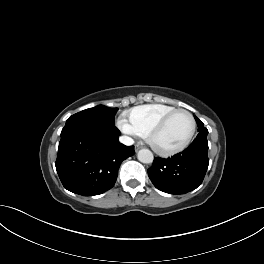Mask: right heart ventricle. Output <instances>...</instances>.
Returning <instances> with one entry per match:
<instances>
[{"instance_id":"right-heart-ventricle-1","label":"right heart ventricle","mask_w":264,"mask_h":264,"mask_svg":"<svg viewBox=\"0 0 264 264\" xmlns=\"http://www.w3.org/2000/svg\"><path fill=\"white\" fill-rule=\"evenodd\" d=\"M175 109L174 106L162 103L147 104L129 111L128 118L137 134L146 137L154 125Z\"/></svg>"}]
</instances>
